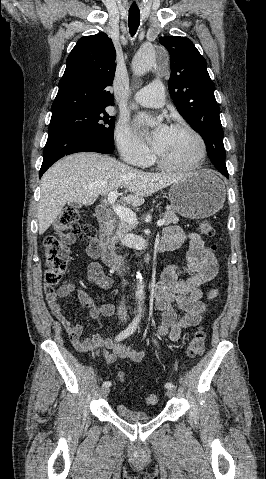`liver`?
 I'll return each instance as SVG.
<instances>
[{"label":"liver","instance_id":"obj_1","mask_svg":"<svg viewBox=\"0 0 266 479\" xmlns=\"http://www.w3.org/2000/svg\"><path fill=\"white\" fill-rule=\"evenodd\" d=\"M187 175L146 173L114 158L93 152L64 157L50 167L41 179L38 204L39 234H43L60 215L66 203L92 205L99 196L124 188L122 200L140 206L147 197Z\"/></svg>","mask_w":266,"mask_h":479}]
</instances>
